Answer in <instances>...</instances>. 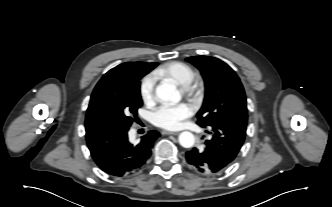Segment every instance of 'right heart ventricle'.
Listing matches in <instances>:
<instances>
[{
  "label": "right heart ventricle",
  "mask_w": 332,
  "mask_h": 207,
  "mask_svg": "<svg viewBox=\"0 0 332 207\" xmlns=\"http://www.w3.org/2000/svg\"><path fill=\"white\" fill-rule=\"evenodd\" d=\"M155 75L159 78L170 79L183 87L194 78L195 73L190 65L180 61H172L158 68Z\"/></svg>",
  "instance_id": "e07e8e85"
}]
</instances>
